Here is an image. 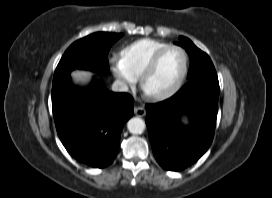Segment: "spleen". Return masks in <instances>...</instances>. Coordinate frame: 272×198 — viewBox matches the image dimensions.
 <instances>
[{"label": "spleen", "mask_w": 272, "mask_h": 198, "mask_svg": "<svg viewBox=\"0 0 272 198\" xmlns=\"http://www.w3.org/2000/svg\"><path fill=\"white\" fill-rule=\"evenodd\" d=\"M182 121L185 122V123H187V121H188L187 117H186V116H183V117H182Z\"/></svg>", "instance_id": "spleen-1"}]
</instances>
